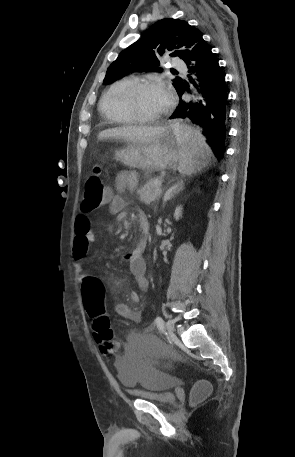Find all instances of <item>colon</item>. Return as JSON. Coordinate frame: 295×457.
Here are the masks:
<instances>
[{
  "label": "colon",
  "instance_id": "1",
  "mask_svg": "<svg viewBox=\"0 0 295 457\" xmlns=\"http://www.w3.org/2000/svg\"><path fill=\"white\" fill-rule=\"evenodd\" d=\"M110 198V192L104 184L100 167L96 166L88 175L85 182V192L81 204L84 212H90L105 205ZM85 309L92 321L93 332L102 355L121 357V348L113 341L110 320L106 314L103 302L102 277L88 279L83 285ZM209 391L206 383H198L192 391L193 400H198Z\"/></svg>",
  "mask_w": 295,
  "mask_h": 457
}]
</instances>
